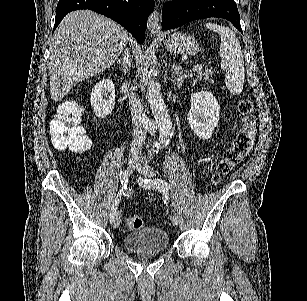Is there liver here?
<instances>
[{"label":"liver","mask_w":307,"mask_h":301,"mask_svg":"<svg viewBox=\"0 0 307 301\" xmlns=\"http://www.w3.org/2000/svg\"><path fill=\"white\" fill-rule=\"evenodd\" d=\"M121 24L93 10H73L58 24L49 46L50 96L62 100L80 80L109 68L126 48Z\"/></svg>","instance_id":"liver-1"}]
</instances>
